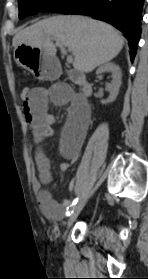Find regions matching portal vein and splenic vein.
<instances>
[{"instance_id": "obj_1", "label": "portal vein and splenic vein", "mask_w": 148, "mask_h": 279, "mask_svg": "<svg viewBox=\"0 0 148 279\" xmlns=\"http://www.w3.org/2000/svg\"><path fill=\"white\" fill-rule=\"evenodd\" d=\"M55 41H56V45L61 49L62 53L67 55V51H66L64 44L59 40H55ZM67 62L68 63L73 62V57L71 55H67Z\"/></svg>"}]
</instances>
